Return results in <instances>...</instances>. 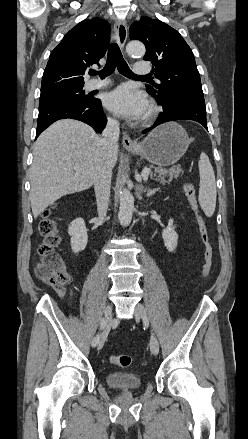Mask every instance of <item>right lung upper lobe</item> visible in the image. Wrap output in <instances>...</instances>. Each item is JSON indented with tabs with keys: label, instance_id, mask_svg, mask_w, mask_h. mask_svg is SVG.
Segmentation results:
<instances>
[{
	"label": "right lung upper lobe",
	"instance_id": "1",
	"mask_svg": "<svg viewBox=\"0 0 248 439\" xmlns=\"http://www.w3.org/2000/svg\"><path fill=\"white\" fill-rule=\"evenodd\" d=\"M110 25L86 19L72 28L51 52L41 83V96L84 86L88 67L98 64L110 40Z\"/></svg>",
	"mask_w": 248,
	"mask_h": 439
}]
</instances>
